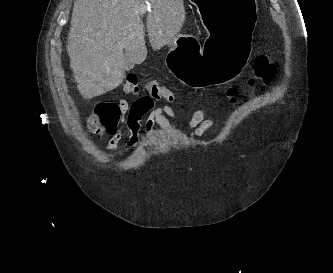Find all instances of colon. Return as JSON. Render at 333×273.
<instances>
[{
  "label": "colon",
  "mask_w": 333,
  "mask_h": 273,
  "mask_svg": "<svg viewBox=\"0 0 333 273\" xmlns=\"http://www.w3.org/2000/svg\"><path fill=\"white\" fill-rule=\"evenodd\" d=\"M274 74V65L267 56L257 58L254 67V76L249 80V84L257 86L261 83H268ZM145 89L152 100H165L174 102L176 95L173 91L163 86L157 81H148L145 83ZM123 91L126 94H137L139 92L138 77L130 73L127 75L123 84ZM237 89L230 87L227 95L234 100ZM120 118V110L117 104L112 102H100L96 104L93 112L87 121V130L100 135L105 132L112 133L117 129Z\"/></svg>",
  "instance_id": "colon-1"
}]
</instances>
